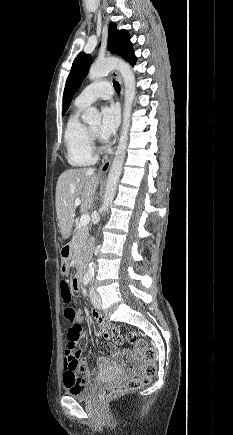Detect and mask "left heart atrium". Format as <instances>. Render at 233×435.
I'll return each instance as SVG.
<instances>
[{
	"label": "left heart atrium",
	"mask_w": 233,
	"mask_h": 435,
	"mask_svg": "<svg viewBox=\"0 0 233 435\" xmlns=\"http://www.w3.org/2000/svg\"><path fill=\"white\" fill-rule=\"evenodd\" d=\"M120 115L117 106L108 105L102 109V123L99 129L100 137L108 142L116 133Z\"/></svg>",
	"instance_id": "39dd6f15"
}]
</instances>
